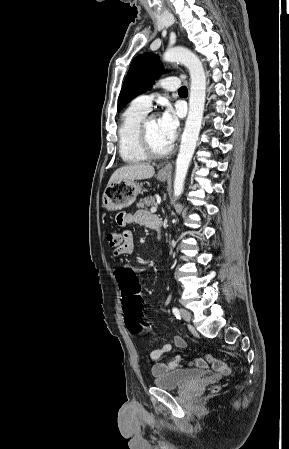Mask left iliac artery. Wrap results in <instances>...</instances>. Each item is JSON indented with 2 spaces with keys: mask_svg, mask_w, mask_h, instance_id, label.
<instances>
[{
  "mask_svg": "<svg viewBox=\"0 0 289 449\" xmlns=\"http://www.w3.org/2000/svg\"><path fill=\"white\" fill-rule=\"evenodd\" d=\"M172 312H173V314H174L178 319L181 318L180 311H179L178 308L173 307Z\"/></svg>",
  "mask_w": 289,
  "mask_h": 449,
  "instance_id": "obj_1",
  "label": "left iliac artery"
}]
</instances>
